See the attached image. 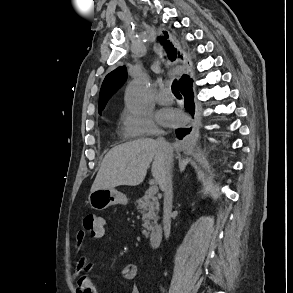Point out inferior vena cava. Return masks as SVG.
<instances>
[{"label":"inferior vena cava","instance_id":"602c4592","mask_svg":"<svg viewBox=\"0 0 293 293\" xmlns=\"http://www.w3.org/2000/svg\"><path fill=\"white\" fill-rule=\"evenodd\" d=\"M157 143L161 150L166 155V170L163 179L160 183V188L164 192V207H163V228L166 238L169 237L170 224H171V210H172V198H173V188H172V150L167 144L163 137L157 138Z\"/></svg>","mask_w":293,"mask_h":293}]
</instances>
